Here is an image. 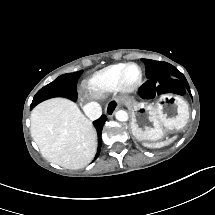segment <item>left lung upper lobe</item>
I'll use <instances>...</instances> for the list:
<instances>
[{
  "mask_svg": "<svg viewBox=\"0 0 215 215\" xmlns=\"http://www.w3.org/2000/svg\"><path fill=\"white\" fill-rule=\"evenodd\" d=\"M142 61L145 63L146 66L147 78H153L161 74H168L179 78L187 86L185 77L174 66L162 61H154L149 59H142Z\"/></svg>",
  "mask_w": 215,
  "mask_h": 215,
  "instance_id": "left-lung-upper-lobe-1",
  "label": "left lung upper lobe"
}]
</instances>
